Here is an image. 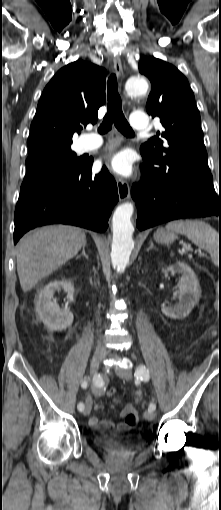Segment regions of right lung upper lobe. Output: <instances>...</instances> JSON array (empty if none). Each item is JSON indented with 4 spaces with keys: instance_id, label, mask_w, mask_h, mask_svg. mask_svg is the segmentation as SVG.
Returning <instances> with one entry per match:
<instances>
[{
    "instance_id": "cb5924a9",
    "label": "right lung upper lobe",
    "mask_w": 221,
    "mask_h": 510,
    "mask_svg": "<svg viewBox=\"0 0 221 510\" xmlns=\"http://www.w3.org/2000/svg\"><path fill=\"white\" fill-rule=\"evenodd\" d=\"M106 70L77 60L61 68L45 87L39 100L28 150L42 147H71L72 136L82 125L97 122L105 103Z\"/></svg>"
}]
</instances>
